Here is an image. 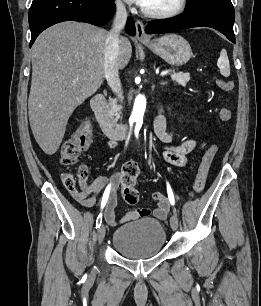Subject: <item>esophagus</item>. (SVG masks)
<instances>
[{"mask_svg": "<svg viewBox=\"0 0 261 306\" xmlns=\"http://www.w3.org/2000/svg\"><path fill=\"white\" fill-rule=\"evenodd\" d=\"M135 28H136V38L140 41H148L149 36L145 32L144 24L140 21L137 20L135 22Z\"/></svg>", "mask_w": 261, "mask_h": 306, "instance_id": "34e87169", "label": "esophagus"}]
</instances>
